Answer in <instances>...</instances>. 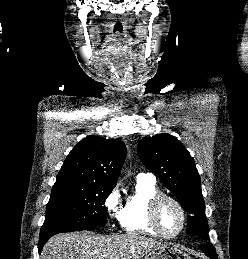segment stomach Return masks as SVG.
<instances>
[{
	"label": "stomach",
	"instance_id": "0dacf381",
	"mask_svg": "<svg viewBox=\"0 0 248 259\" xmlns=\"http://www.w3.org/2000/svg\"><path fill=\"white\" fill-rule=\"evenodd\" d=\"M144 259H191V257L176 247L165 245L152 250Z\"/></svg>",
	"mask_w": 248,
	"mask_h": 259
}]
</instances>
